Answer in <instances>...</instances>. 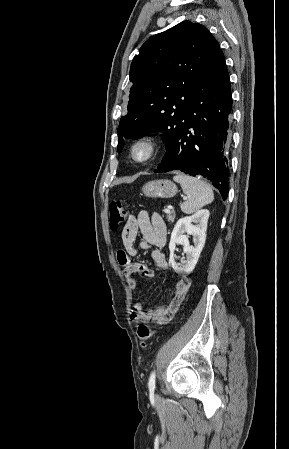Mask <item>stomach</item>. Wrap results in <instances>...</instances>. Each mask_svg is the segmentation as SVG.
<instances>
[{"label":"stomach","mask_w":289,"mask_h":449,"mask_svg":"<svg viewBox=\"0 0 289 449\" xmlns=\"http://www.w3.org/2000/svg\"><path fill=\"white\" fill-rule=\"evenodd\" d=\"M142 192L148 197L171 198L178 189L170 180H153L143 185Z\"/></svg>","instance_id":"obj_1"}]
</instances>
